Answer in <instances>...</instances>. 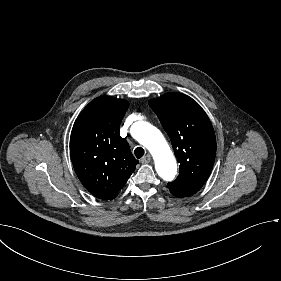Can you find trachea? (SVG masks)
Segmentation results:
<instances>
[{"label":"trachea","mask_w":281,"mask_h":281,"mask_svg":"<svg viewBox=\"0 0 281 281\" xmlns=\"http://www.w3.org/2000/svg\"><path fill=\"white\" fill-rule=\"evenodd\" d=\"M134 154L135 156L139 159V158H142L145 154V151L142 147H137L135 150H134Z\"/></svg>","instance_id":"3493384b"}]
</instances>
